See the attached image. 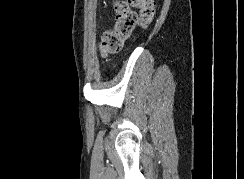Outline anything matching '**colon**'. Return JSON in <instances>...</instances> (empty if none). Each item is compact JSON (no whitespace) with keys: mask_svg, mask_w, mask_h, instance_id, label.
Returning <instances> with one entry per match:
<instances>
[{"mask_svg":"<svg viewBox=\"0 0 244 179\" xmlns=\"http://www.w3.org/2000/svg\"><path fill=\"white\" fill-rule=\"evenodd\" d=\"M116 27L104 32L99 44L100 52L107 57L125 50V42L133 36L135 29H146L155 14L154 3L147 0L113 2Z\"/></svg>","mask_w":244,"mask_h":179,"instance_id":"colon-1","label":"colon"}]
</instances>
